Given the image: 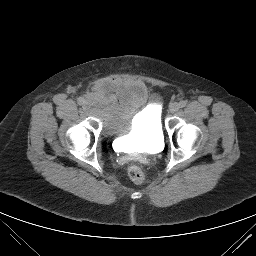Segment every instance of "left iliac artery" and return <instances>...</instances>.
Returning <instances> with one entry per match:
<instances>
[{
  "instance_id": "obj_1",
  "label": "left iliac artery",
  "mask_w": 256,
  "mask_h": 256,
  "mask_svg": "<svg viewBox=\"0 0 256 256\" xmlns=\"http://www.w3.org/2000/svg\"><path fill=\"white\" fill-rule=\"evenodd\" d=\"M186 104H187V102L184 101V100H182V101L179 102V106H180L181 108L185 107Z\"/></svg>"
}]
</instances>
